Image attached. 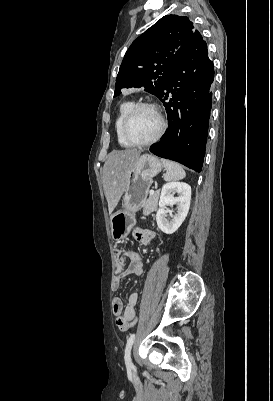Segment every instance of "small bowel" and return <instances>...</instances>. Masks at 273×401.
Returning <instances> with one entry per match:
<instances>
[{"mask_svg":"<svg viewBox=\"0 0 273 401\" xmlns=\"http://www.w3.org/2000/svg\"><path fill=\"white\" fill-rule=\"evenodd\" d=\"M133 237H141L143 231L141 228H133L131 231ZM153 230L146 228L144 230L141 242L148 245L152 239ZM127 263V265H126ZM114 264L116 276L113 280V289L118 290L124 277L128 275H140L143 272V264L139 253L133 250H126L120 247L114 249ZM139 300V293L132 292L128 297V303L124 306L122 300L118 297L114 298L112 303L113 313L116 325L121 330L132 327L137 322L136 306Z\"/></svg>","mask_w":273,"mask_h":401,"instance_id":"obj_1","label":"small bowel"}]
</instances>
